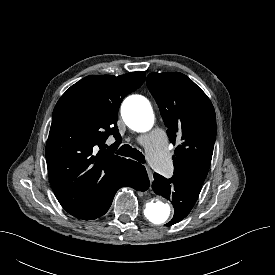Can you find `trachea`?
Segmentation results:
<instances>
[{
  "mask_svg": "<svg viewBox=\"0 0 275 275\" xmlns=\"http://www.w3.org/2000/svg\"><path fill=\"white\" fill-rule=\"evenodd\" d=\"M117 154L125 157H131L140 163H145L144 155L140 151H138L136 148H132L130 145H127V144L122 145L118 149Z\"/></svg>",
  "mask_w": 275,
  "mask_h": 275,
  "instance_id": "1",
  "label": "trachea"
}]
</instances>
